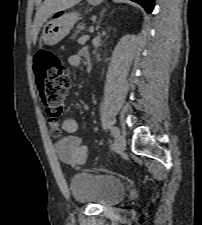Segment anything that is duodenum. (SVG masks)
<instances>
[{
    "label": "duodenum",
    "instance_id": "obj_1",
    "mask_svg": "<svg viewBox=\"0 0 202 225\" xmlns=\"http://www.w3.org/2000/svg\"><path fill=\"white\" fill-rule=\"evenodd\" d=\"M84 59H85L87 68H91L92 67V58H91V55L89 52H85Z\"/></svg>",
    "mask_w": 202,
    "mask_h": 225
}]
</instances>
